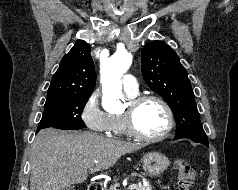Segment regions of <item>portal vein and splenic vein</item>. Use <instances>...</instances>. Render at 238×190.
I'll use <instances>...</instances> for the list:
<instances>
[{
	"label": "portal vein and splenic vein",
	"mask_w": 238,
	"mask_h": 190,
	"mask_svg": "<svg viewBox=\"0 0 238 190\" xmlns=\"http://www.w3.org/2000/svg\"><path fill=\"white\" fill-rule=\"evenodd\" d=\"M137 187L136 184H132L128 187V190H134Z\"/></svg>",
	"instance_id": "1"
}]
</instances>
